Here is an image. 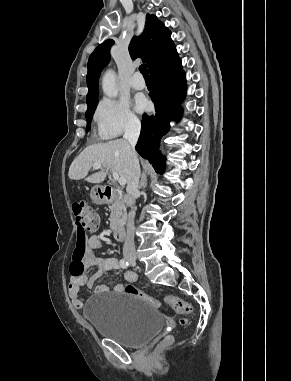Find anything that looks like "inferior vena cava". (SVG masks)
Segmentation results:
<instances>
[{"instance_id":"602c4592","label":"inferior vena cava","mask_w":291,"mask_h":381,"mask_svg":"<svg viewBox=\"0 0 291 381\" xmlns=\"http://www.w3.org/2000/svg\"><path fill=\"white\" fill-rule=\"evenodd\" d=\"M140 131H141L140 122L131 121L127 125L125 129V134L123 136L124 139L127 140L128 143L130 144V157H131L132 169H133L131 181L127 185V193L134 199H136L138 195V181L140 176L139 161L135 151V146L138 141ZM134 217H135V211L131 210L129 212L128 221H127V236L123 246V253L125 255L135 254Z\"/></svg>"}]
</instances>
